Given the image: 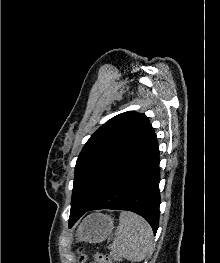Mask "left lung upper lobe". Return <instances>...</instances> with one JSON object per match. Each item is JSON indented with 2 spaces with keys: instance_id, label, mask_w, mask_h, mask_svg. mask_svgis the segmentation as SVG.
<instances>
[{
  "instance_id": "obj_1",
  "label": "left lung upper lobe",
  "mask_w": 220,
  "mask_h": 263,
  "mask_svg": "<svg viewBox=\"0 0 220 263\" xmlns=\"http://www.w3.org/2000/svg\"><path fill=\"white\" fill-rule=\"evenodd\" d=\"M156 139L142 113H122L102 125L77 159L71 210L89 208Z\"/></svg>"
}]
</instances>
